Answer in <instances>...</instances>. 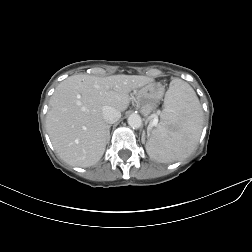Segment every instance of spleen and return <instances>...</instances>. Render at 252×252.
Segmentation results:
<instances>
[{"label":"spleen","mask_w":252,"mask_h":252,"mask_svg":"<svg viewBox=\"0 0 252 252\" xmlns=\"http://www.w3.org/2000/svg\"><path fill=\"white\" fill-rule=\"evenodd\" d=\"M161 116L160 126L152 130L146 143L149 156L167 163L190 155L202 131L203 112L195 91L187 82L171 81Z\"/></svg>","instance_id":"obj_1"}]
</instances>
